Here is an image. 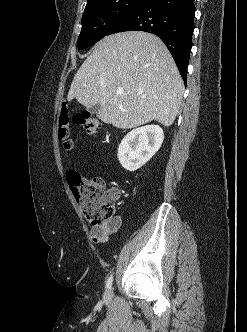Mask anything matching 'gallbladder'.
<instances>
[{"instance_id": "1", "label": "gallbladder", "mask_w": 247, "mask_h": 332, "mask_svg": "<svg viewBox=\"0 0 247 332\" xmlns=\"http://www.w3.org/2000/svg\"><path fill=\"white\" fill-rule=\"evenodd\" d=\"M99 108H100V105L99 104H96L92 107H90L88 110L91 112V113H97L99 111Z\"/></svg>"}]
</instances>
